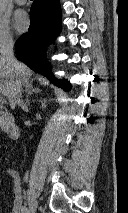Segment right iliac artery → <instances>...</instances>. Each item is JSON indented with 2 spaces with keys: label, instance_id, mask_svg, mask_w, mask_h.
Segmentation results:
<instances>
[{
  "label": "right iliac artery",
  "instance_id": "1",
  "mask_svg": "<svg viewBox=\"0 0 128 213\" xmlns=\"http://www.w3.org/2000/svg\"><path fill=\"white\" fill-rule=\"evenodd\" d=\"M29 201H30V197H29ZM24 212L28 213V211H27V210H26V211H24Z\"/></svg>",
  "mask_w": 128,
  "mask_h": 213
}]
</instances>
